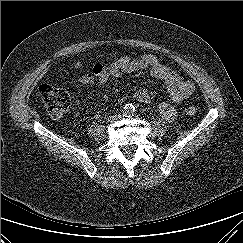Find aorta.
<instances>
[{
	"label": "aorta",
	"instance_id": "aorta-1",
	"mask_svg": "<svg viewBox=\"0 0 243 243\" xmlns=\"http://www.w3.org/2000/svg\"><path fill=\"white\" fill-rule=\"evenodd\" d=\"M125 112H126V113H130V112H132V107H131L130 105H126V107H125Z\"/></svg>",
	"mask_w": 243,
	"mask_h": 243
}]
</instances>
